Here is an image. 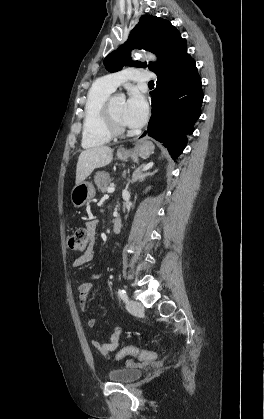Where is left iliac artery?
Listing matches in <instances>:
<instances>
[{
  "instance_id": "1",
  "label": "left iliac artery",
  "mask_w": 264,
  "mask_h": 419,
  "mask_svg": "<svg viewBox=\"0 0 264 419\" xmlns=\"http://www.w3.org/2000/svg\"><path fill=\"white\" fill-rule=\"evenodd\" d=\"M118 294H119V296H120V298L124 301V302H128V296H127V293H126V291L125 290H123V289H119L118 290Z\"/></svg>"
}]
</instances>
